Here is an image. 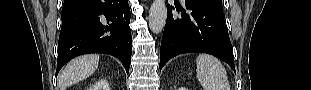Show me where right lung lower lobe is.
<instances>
[{
    "mask_svg": "<svg viewBox=\"0 0 311 90\" xmlns=\"http://www.w3.org/2000/svg\"><path fill=\"white\" fill-rule=\"evenodd\" d=\"M58 42L57 73L87 53L117 57L129 72L132 36L128 0H65Z\"/></svg>",
    "mask_w": 311,
    "mask_h": 90,
    "instance_id": "98d812e1",
    "label": "right lung lower lobe"
}]
</instances>
